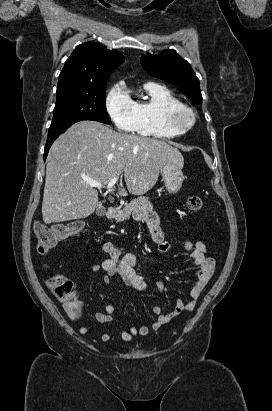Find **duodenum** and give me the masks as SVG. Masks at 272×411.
Returning <instances> with one entry per match:
<instances>
[{
    "label": "duodenum",
    "mask_w": 272,
    "mask_h": 411,
    "mask_svg": "<svg viewBox=\"0 0 272 411\" xmlns=\"http://www.w3.org/2000/svg\"><path fill=\"white\" fill-rule=\"evenodd\" d=\"M118 212H119L118 208L109 207V208H107L105 215L108 219H113V218H115V216L117 215Z\"/></svg>",
    "instance_id": "410a0bca"
}]
</instances>
